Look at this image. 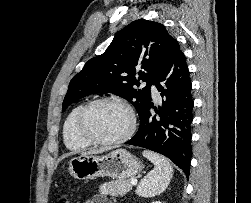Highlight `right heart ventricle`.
I'll use <instances>...</instances> for the list:
<instances>
[{
  "mask_svg": "<svg viewBox=\"0 0 251 203\" xmlns=\"http://www.w3.org/2000/svg\"><path fill=\"white\" fill-rule=\"evenodd\" d=\"M83 104L73 107L66 116L63 123V141L65 146L71 151H82L89 147V144L80 139L75 132V119Z\"/></svg>",
  "mask_w": 251,
  "mask_h": 203,
  "instance_id": "obj_1",
  "label": "right heart ventricle"
}]
</instances>
